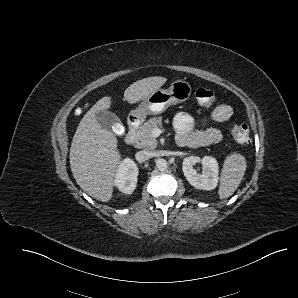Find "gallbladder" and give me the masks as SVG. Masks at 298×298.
I'll use <instances>...</instances> for the list:
<instances>
[{"instance_id":"bac80fb5","label":"gallbladder","mask_w":298,"mask_h":298,"mask_svg":"<svg viewBox=\"0 0 298 298\" xmlns=\"http://www.w3.org/2000/svg\"><path fill=\"white\" fill-rule=\"evenodd\" d=\"M95 118L99 125L107 131H112L113 127L120 123L119 117L110 111L100 110L95 114Z\"/></svg>"}]
</instances>
